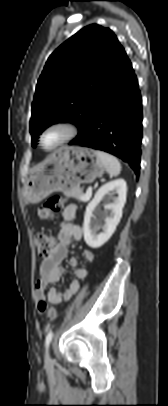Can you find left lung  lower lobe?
Returning <instances> with one entry per match:
<instances>
[{"instance_id":"1","label":"left lung lower lobe","mask_w":168,"mask_h":406,"mask_svg":"<svg viewBox=\"0 0 168 406\" xmlns=\"http://www.w3.org/2000/svg\"><path fill=\"white\" fill-rule=\"evenodd\" d=\"M142 118L137 78L124 52L103 87L84 128L69 145L113 154L128 162L138 177Z\"/></svg>"}]
</instances>
